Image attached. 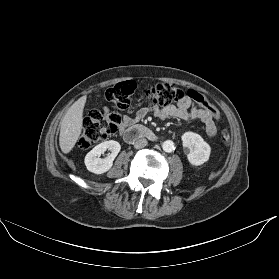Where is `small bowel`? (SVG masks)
<instances>
[{
  "label": "small bowel",
  "mask_w": 279,
  "mask_h": 279,
  "mask_svg": "<svg viewBox=\"0 0 279 279\" xmlns=\"http://www.w3.org/2000/svg\"><path fill=\"white\" fill-rule=\"evenodd\" d=\"M148 112H152L154 116L160 120L179 118L188 123L200 120L205 124L206 134L209 138H213L217 132L214 117L206 109L196 105L195 101L190 96L183 97L176 105L142 108L136 113L134 118L123 116L119 125L120 130L124 131L126 128L132 127L136 121L144 118Z\"/></svg>",
  "instance_id": "obj_1"
}]
</instances>
